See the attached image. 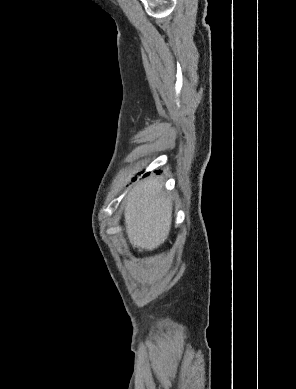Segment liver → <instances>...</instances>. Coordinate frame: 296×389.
I'll return each mask as SVG.
<instances>
[{"label": "liver", "instance_id": "liver-1", "mask_svg": "<svg viewBox=\"0 0 296 389\" xmlns=\"http://www.w3.org/2000/svg\"><path fill=\"white\" fill-rule=\"evenodd\" d=\"M124 218L133 248L152 251L165 242L172 224V202L164 196L157 179H146L131 190Z\"/></svg>", "mask_w": 296, "mask_h": 389}]
</instances>
